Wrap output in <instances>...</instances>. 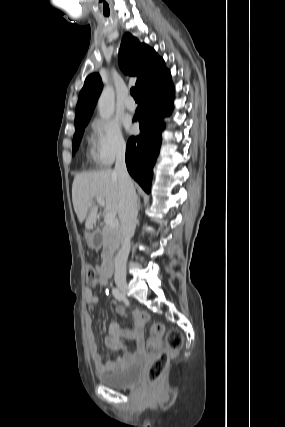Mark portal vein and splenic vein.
Returning <instances> with one entry per match:
<instances>
[{"label":"portal vein and splenic vein","mask_w":285,"mask_h":427,"mask_svg":"<svg viewBox=\"0 0 285 427\" xmlns=\"http://www.w3.org/2000/svg\"><path fill=\"white\" fill-rule=\"evenodd\" d=\"M96 200L101 206H105V200L104 199L97 197ZM88 205L90 206V202L88 203ZM105 222H106V225H108L110 227L118 226L119 222H118V219L116 218V213L107 212L105 215Z\"/></svg>","instance_id":"portal-vein-and-splenic-vein-1"}]
</instances>
